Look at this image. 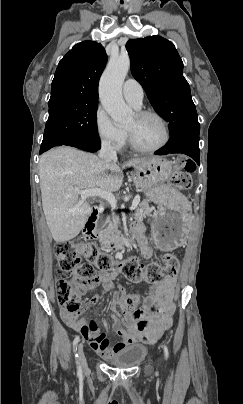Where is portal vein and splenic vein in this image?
Segmentation results:
<instances>
[{
	"mask_svg": "<svg viewBox=\"0 0 243 404\" xmlns=\"http://www.w3.org/2000/svg\"><path fill=\"white\" fill-rule=\"evenodd\" d=\"M78 194H80L81 200H86V198H90V196L104 198V200H107V202L111 204L112 210H115L116 208L117 200L115 196H113L112 192H107V190H101V188H90V190H79ZM139 202L140 196H135L130 210H136Z\"/></svg>",
	"mask_w": 243,
	"mask_h": 404,
	"instance_id": "1",
	"label": "portal vein and splenic vein"
}]
</instances>
